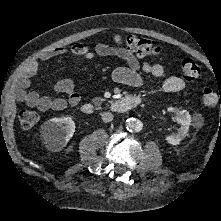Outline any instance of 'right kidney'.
Wrapping results in <instances>:
<instances>
[{
    "label": "right kidney",
    "instance_id": "ca27d5eb",
    "mask_svg": "<svg viewBox=\"0 0 221 221\" xmlns=\"http://www.w3.org/2000/svg\"><path fill=\"white\" fill-rule=\"evenodd\" d=\"M75 128V123L70 116L52 118L41 126V135L48 149L58 151L72 138Z\"/></svg>",
    "mask_w": 221,
    "mask_h": 221
}]
</instances>
